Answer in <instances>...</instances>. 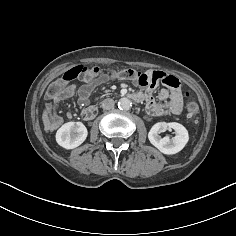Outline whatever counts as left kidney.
Masks as SVG:
<instances>
[{"label":"left kidney","mask_w":236,"mask_h":236,"mask_svg":"<svg viewBox=\"0 0 236 236\" xmlns=\"http://www.w3.org/2000/svg\"><path fill=\"white\" fill-rule=\"evenodd\" d=\"M173 129L175 136L171 139L168 136L161 137L159 131L161 129ZM150 143L155 146L160 152L167 155H172L180 152L189 140L187 129L177 122H160L156 123L148 133Z\"/></svg>","instance_id":"1"}]
</instances>
